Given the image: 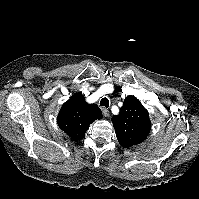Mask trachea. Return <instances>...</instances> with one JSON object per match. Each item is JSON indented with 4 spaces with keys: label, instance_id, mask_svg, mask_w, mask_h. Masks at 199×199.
Returning <instances> with one entry per match:
<instances>
[{
    "label": "trachea",
    "instance_id": "obj_1",
    "mask_svg": "<svg viewBox=\"0 0 199 199\" xmlns=\"http://www.w3.org/2000/svg\"><path fill=\"white\" fill-rule=\"evenodd\" d=\"M100 105L108 108L109 107V100H108V98H106V97L102 98L101 101H100Z\"/></svg>",
    "mask_w": 199,
    "mask_h": 199
}]
</instances>
